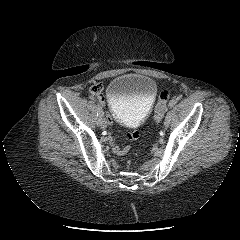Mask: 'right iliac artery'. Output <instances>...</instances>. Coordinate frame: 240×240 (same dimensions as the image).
<instances>
[{"label":"right iliac artery","mask_w":240,"mask_h":240,"mask_svg":"<svg viewBox=\"0 0 240 240\" xmlns=\"http://www.w3.org/2000/svg\"><path fill=\"white\" fill-rule=\"evenodd\" d=\"M97 116H98V123L100 122L101 118L103 117V111H102V107L100 106V104L98 103V109H97Z\"/></svg>","instance_id":"right-iliac-artery-1"}]
</instances>
